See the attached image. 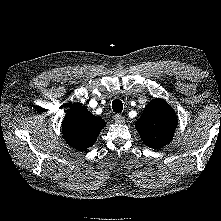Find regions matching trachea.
<instances>
[{
    "label": "trachea",
    "instance_id": "1",
    "mask_svg": "<svg viewBox=\"0 0 221 221\" xmlns=\"http://www.w3.org/2000/svg\"><path fill=\"white\" fill-rule=\"evenodd\" d=\"M112 109H113V112L115 113H121L123 110V103L120 100L115 99L112 102Z\"/></svg>",
    "mask_w": 221,
    "mask_h": 221
}]
</instances>
